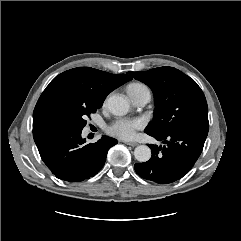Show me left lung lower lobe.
<instances>
[{
  "label": "left lung lower lobe",
  "mask_w": 241,
  "mask_h": 241,
  "mask_svg": "<svg viewBox=\"0 0 241 241\" xmlns=\"http://www.w3.org/2000/svg\"><path fill=\"white\" fill-rule=\"evenodd\" d=\"M208 129V125H194L168 134L146 132L163 141L165 145H149L152 156L145 163L135 164L137 174L158 184H168L181 179L200 156Z\"/></svg>",
  "instance_id": "left-lung-lower-lobe-1"
}]
</instances>
